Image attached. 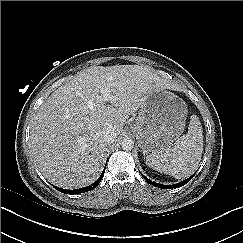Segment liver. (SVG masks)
<instances>
[{"label":"liver","instance_id":"liver-1","mask_svg":"<svg viewBox=\"0 0 243 243\" xmlns=\"http://www.w3.org/2000/svg\"><path fill=\"white\" fill-rule=\"evenodd\" d=\"M110 89L106 100L102 91ZM179 90L139 65L91 66L61 85L40 106L29 145L43 176L58 187L72 189L93 183L100 175L109 127L122 131L130 115L155 90Z\"/></svg>","mask_w":243,"mask_h":243}]
</instances>
